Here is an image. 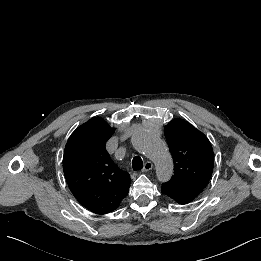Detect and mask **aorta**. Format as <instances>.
Instances as JSON below:
<instances>
[{"mask_svg":"<svg viewBox=\"0 0 261 261\" xmlns=\"http://www.w3.org/2000/svg\"><path fill=\"white\" fill-rule=\"evenodd\" d=\"M135 150L152 160L156 166V175L160 182L168 181L173 174L171 155L156 135L145 129H136L131 138Z\"/></svg>","mask_w":261,"mask_h":261,"instance_id":"762f6f07","label":"aorta"}]
</instances>
